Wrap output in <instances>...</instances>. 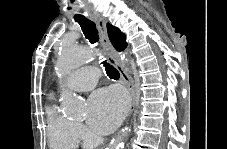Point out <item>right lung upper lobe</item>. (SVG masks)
<instances>
[{"instance_id":"obj_1","label":"right lung upper lobe","mask_w":227,"mask_h":149,"mask_svg":"<svg viewBox=\"0 0 227 149\" xmlns=\"http://www.w3.org/2000/svg\"><path fill=\"white\" fill-rule=\"evenodd\" d=\"M107 31L111 43L118 51H122L126 48L127 43L125 34H123L117 27H114L109 23L107 24Z\"/></svg>"}]
</instances>
